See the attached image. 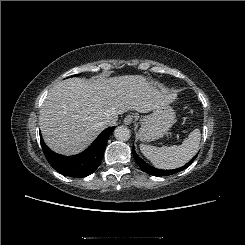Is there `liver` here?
I'll list each match as a JSON object with an SVG mask.
<instances>
[{
  "instance_id": "6515ba94",
  "label": "liver",
  "mask_w": 245,
  "mask_h": 245,
  "mask_svg": "<svg viewBox=\"0 0 245 245\" xmlns=\"http://www.w3.org/2000/svg\"><path fill=\"white\" fill-rule=\"evenodd\" d=\"M175 97L142 75L66 79L52 87L43 103L41 133L50 149L74 155L95 140L108 118L128 110L148 113L169 105Z\"/></svg>"
}]
</instances>
